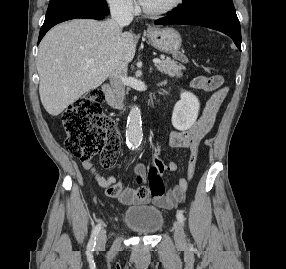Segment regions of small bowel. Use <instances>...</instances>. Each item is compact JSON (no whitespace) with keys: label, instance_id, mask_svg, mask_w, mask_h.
<instances>
[{"label":"small bowel","instance_id":"c3829d8e","mask_svg":"<svg viewBox=\"0 0 286 269\" xmlns=\"http://www.w3.org/2000/svg\"><path fill=\"white\" fill-rule=\"evenodd\" d=\"M201 78H213L208 76H199ZM198 78V77H196ZM193 83V82H192ZM200 89V88H199ZM219 110H203L201 116L196 123L188 130L185 131H173L170 134L169 146L173 149H187L189 150V157L187 162V175L186 177H179L178 184L166 195L161 197H149L138 196L137 192L130 188L122 189L120 194L115 197L119 201L124 203H141L147 200H151L155 205L165 208L174 209L177 207L184 193L188 188L189 182L192 180L196 163L198 160V148L201 140L211 130L216 120V116ZM82 167L85 170L90 171L97 182V184L107 190L115 183L113 176L104 177L95 168L94 164L90 161H82ZM178 164L174 160L168 162V169L170 171H177ZM135 172L145 179V166L137 162L135 164Z\"/></svg>","mask_w":286,"mask_h":269}]
</instances>
